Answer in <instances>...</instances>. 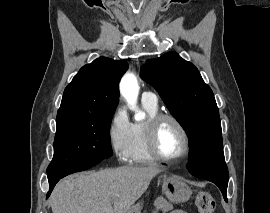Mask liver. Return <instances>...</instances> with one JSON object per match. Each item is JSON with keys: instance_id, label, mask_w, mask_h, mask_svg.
<instances>
[{"instance_id": "6515ba94", "label": "liver", "mask_w": 270, "mask_h": 213, "mask_svg": "<svg viewBox=\"0 0 270 213\" xmlns=\"http://www.w3.org/2000/svg\"><path fill=\"white\" fill-rule=\"evenodd\" d=\"M161 171L158 166H122L69 176L52 192V211L127 213Z\"/></svg>"}]
</instances>
